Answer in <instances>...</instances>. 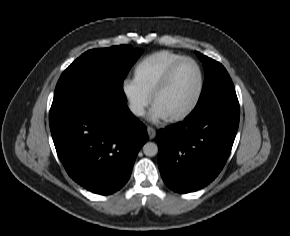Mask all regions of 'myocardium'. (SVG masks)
<instances>
[{
    "mask_svg": "<svg viewBox=\"0 0 290 236\" xmlns=\"http://www.w3.org/2000/svg\"><path fill=\"white\" fill-rule=\"evenodd\" d=\"M185 64H190L195 68L196 74H197V88H196V91H195V94H194L192 100L182 111H180L178 113H174V114H164V116L168 120H178V119H181V118H184L185 116H187L196 106V104L201 96V93H202L203 73H202L201 67L193 59H183V60L177 61L174 65H172V67L167 71V73L165 74L163 79L152 90L151 98H150L151 104L154 105V102H155L156 98L158 97V95L162 91H164L171 83L176 71L181 66H183Z\"/></svg>",
    "mask_w": 290,
    "mask_h": 236,
    "instance_id": "obj_1",
    "label": "myocardium"
}]
</instances>
